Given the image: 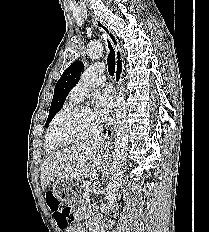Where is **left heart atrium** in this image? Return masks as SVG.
Returning <instances> with one entry per match:
<instances>
[{
    "mask_svg": "<svg viewBox=\"0 0 209 232\" xmlns=\"http://www.w3.org/2000/svg\"><path fill=\"white\" fill-rule=\"evenodd\" d=\"M94 115L96 120L101 123L106 121L114 107L113 91L110 87H105L94 96Z\"/></svg>",
    "mask_w": 209,
    "mask_h": 232,
    "instance_id": "obj_1",
    "label": "left heart atrium"
}]
</instances>
